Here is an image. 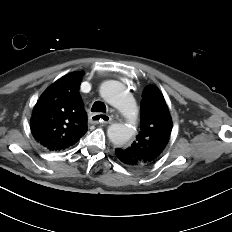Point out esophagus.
<instances>
[{
	"label": "esophagus",
	"mask_w": 232,
	"mask_h": 232,
	"mask_svg": "<svg viewBox=\"0 0 232 232\" xmlns=\"http://www.w3.org/2000/svg\"><path fill=\"white\" fill-rule=\"evenodd\" d=\"M111 121V117L107 114L96 113L91 116V122L93 124H108Z\"/></svg>",
	"instance_id": "esophagus-1"
}]
</instances>
